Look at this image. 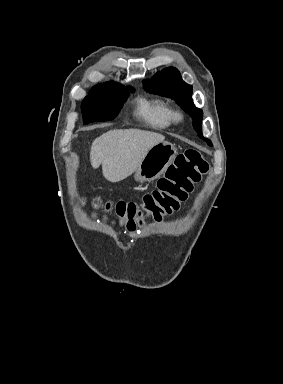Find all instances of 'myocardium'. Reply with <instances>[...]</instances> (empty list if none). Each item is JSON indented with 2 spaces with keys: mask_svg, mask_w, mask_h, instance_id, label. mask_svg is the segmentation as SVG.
Instances as JSON below:
<instances>
[{
  "mask_svg": "<svg viewBox=\"0 0 283 384\" xmlns=\"http://www.w3.org/2000/svg\"><path fill=\"white\" fill-rule=\"evenodd\" d=\"M182 118L183 115L179 110H171V120L173 122H180Z\"/></svg>",
  "mask_w": 283,
  "mask_h": 384,
  "instance_id": "1",
  "label": "myocardium"
}]
</instances>
